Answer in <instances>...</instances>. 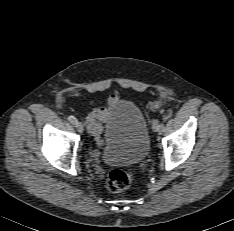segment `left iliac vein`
Here are the masks:
<instances>
[{"label": "left iliac vein", "instance_id": "left-iliac-vein-1", "mask_svg": "<svg viewBox=\"0 0 234 231\" xmlns=\"http://www.w3.org/2000/svg\"><path fill=\"white\" fill-rule=\"evenodd\" d=\"M152 129H153V131H155V132H158V131H159V122H158V120L153 121Z\"/></svg>", "mask_w": 234, "mask_h": 231}]
</instances>
